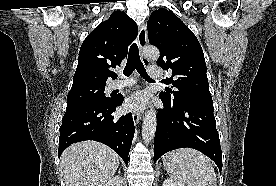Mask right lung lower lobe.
I'll list each match as a JSON object with an SVG mask.
<instances>
[{
    "label": "right lung lower lobe",
    "instance_id": "98d812e1",
    "mask_svg": "<svg viewBox=\"0 0 276 186\" xmlns=\"http://www.w3.org/2000/svg\"><path fill=\"white\" fill-rule=\"evenodd\" d=\"M123 103V97H113L102 106H86L66 110L62 119L58 156L71 144L94 140L112 148L128 164V154L135 132L132 114L112 115Z\"/></svg>",
    "mask_w": 276,
    "mask_h": 186
}]
</instances>
